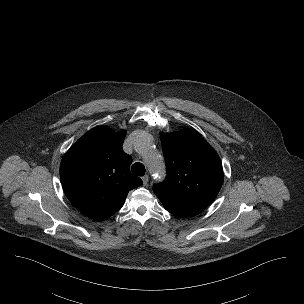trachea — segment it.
I'll use <instances>...</instances> for the list:
<instances>
[{"mask_svg": "<svg viewBox=\"0 0 304 304\" xmlns=\"http://www.w3.org/2000/svg\"><path fill=\"white\" fill-rule=\"evenodd\" d=\"M131 171L137 176H143L145 174V166L140 162H136L132 165Z\"/></svg>", "mask_w": 304, "mask_h": 304, "instance_id": "1", "label": "trachea"}]
</instances>
